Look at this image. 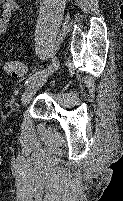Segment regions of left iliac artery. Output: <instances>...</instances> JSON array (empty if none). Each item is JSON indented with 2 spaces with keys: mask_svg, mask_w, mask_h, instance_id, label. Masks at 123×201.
Listing matches in <instances>:
<instances>
[{
  "mask_svg": "<svg viewBox=\"0 0 123 201\" xmlns=\"http://www.w3.org/2000/svg\"><path fill=\"white\" fill-rule=\"evenodd\" d=\"M59 66V61L56 57H54L52 59V64L47 67L46 69L40 70V71H34L33 73L30 74L29 78L25 81V84L30 83V81L35 78L36 76H38L39 74H44L45 72L48 71H56L58 69Z\"/></svg>",
  "mask_w": 123,
  "mask_h": 201,
  "instance_id": "1",
  "label": "left iliac artery"
}]
</instances>
